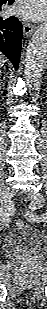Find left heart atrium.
I'll return each mask as SVG.
<instances>
[{
    "instance_id": "left-heart-atrium-1",
    "label": "left heart atrium",
    "mask_w": 47,
    "mask_h": 309,
    "mask_svg": "<svg viewBox=\"0 0 47 309\" xmlns=\"http://www.w3.org/2000/svg\"><path fill=\"white\" fill-rule=\"evenodd\" d=\"M14 10L17 15L28 20H40L46 12L44 0H19Z\"/></svg>"
}]
</instances>
